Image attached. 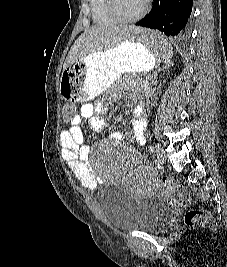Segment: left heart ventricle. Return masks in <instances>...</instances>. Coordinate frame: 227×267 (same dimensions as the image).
I'll list each match as a JSON object with an SVG mask.
<instances>
[{
    "label": "left heart ventricle",
    "mask_w": 227,
    "mask_h": 267,
    "mask_svg": "<svg viewBox=\"0 0 227 267\" xmlns=\"http://www.w3.org/2000/svg\"><path fill=\"white\" fill-rule=\"evenodd\" d=\"M145 0H118L117 6L119 11L125 16H133L137 14Z\"/></svg>",
    "instance_id": "1"
}]
</instances>
